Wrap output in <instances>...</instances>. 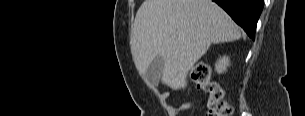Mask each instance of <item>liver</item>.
<instances>
[{"mask_svg": "<svg viewBox=\"0 0 305 116\" xmlns=\"http://www.w3.org/2000/svg\"><path fill=\"white\" fill-rule=\"evenodd\" d=\"M240 37L239 27L211 0H145L136 14L131 52L141 73L161 56V82L178 90L212 43Z\"/></svg>", "mask_w": 305, "mask_h": 116, "instance_id": "1", "label": "liver"}]
</instances>
